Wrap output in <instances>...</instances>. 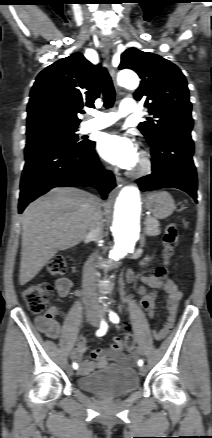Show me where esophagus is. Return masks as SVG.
<instances>
[{
	"mask_svg": "<svg viewBox=\"0 0 212 438\" xmlns=\"http://www.w3.org/2000/svg\"><path fill=\"white\" fill-rule=\"evenodd\" d=\"M110 48H111V44L109 42H104L102 44L103 55L106 58V61L108 62L110 73H111L113 79L115 80L116 71L110 64ZM118 95L119 96L121 95V93L119 91H118ZM116 181L119 185L124 184L123 178H121L119 175H116Z\"/></svg>",
	"mask_w": 212,
	"mask_h": 438,
	"instance_id": "obj_1",
	"label": "esophagus"
}]
</instances>
